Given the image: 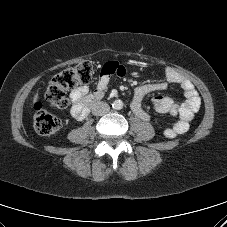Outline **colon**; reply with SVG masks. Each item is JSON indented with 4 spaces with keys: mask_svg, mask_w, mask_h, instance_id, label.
<instances>
[{
    "mask_svg": "<svg viewBox=\"0 0 227 227\" xmlns=\"http://www.w3.org/2000/svg\"><path fill=\"white\" fill-rule=\"evenodd\" d=\"M93 64L90 61H82L62 72L54 75L46 89L47 102L58 109L68 106L67 91L90 82L93 75ZM34 127L41 135H53L61 127L58 117L49 112L42 102L37 101L33 107Z\"/></svg>",
    "mask_w": 227,
    "mask_h": 227,
    "instance_id": "5ec220e1",
    "label": "colon"
}]
</instances>
